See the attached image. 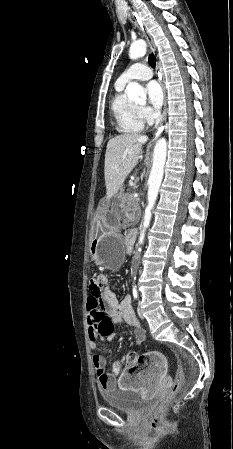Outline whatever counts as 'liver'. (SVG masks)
<instances>
[{"label": "liver", "instance_id": "liver-1", "mask_svg": "<svg viewBox=\"0 0 233 449\" xmlns=\"http://www.w3.org/2000/svg\"><path fill=\"white\" fill-rule=\"evenodd\" d=\"M147 137L137 133L118 135L106 147L104 177L106 198L110 200L122 187L124 180L138 162L142 145Z\"/></svg>", "mask_w": 233, "mask_h": 449}]
</instances>
